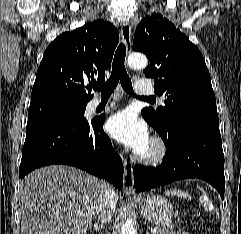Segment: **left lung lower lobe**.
<instances>
[{
	"label": "left lung lower lobe",
	"mask_w": 241,
	"mask_h": 234,
	"mask_svg": "<svg viewBox=\"0 0 241 234\" xmlns=\"http://www.w3.org/2000/svg\"><path fill=\"white\" fill-rule=\"evenodd\" d=\"M162 164L156 168L133 169L137 192L186 178L212 184L224 198V154L219 127L189 123L178 127L169 142Z\"/></svg>",
	"instance_id": "1"
}]
</instances>
